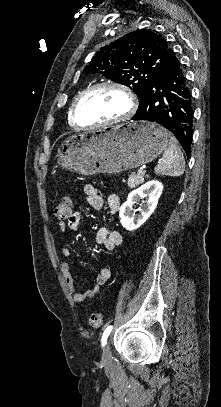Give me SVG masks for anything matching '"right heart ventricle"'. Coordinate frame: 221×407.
<instances>
[{
    "mask_svg": "<svg viewBox=\"0 0 221 407\" xmlns=\"http://www.w3.org/2000/svg\"><path fill=\"white\" fill-rule=\"evenodd\" d=\"M81 92H82V91H79L77 94H75V96L72 98V101H71L70 106H69V108H68V121H69L70 124H72L71 117H70L72 107H73V105H74L75 100L77 99V97L79 96V94H80Z\"/></svg>",
    "mask_w": 221,
    "mask_h": 407,
    "instance_id": "1",
    "label": "right heart ventricle"
}]
</instances>
